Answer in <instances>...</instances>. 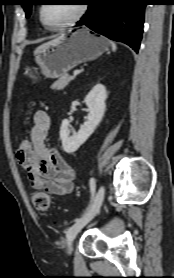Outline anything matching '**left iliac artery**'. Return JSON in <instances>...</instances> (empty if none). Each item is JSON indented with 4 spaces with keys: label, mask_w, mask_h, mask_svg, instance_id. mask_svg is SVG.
I'll use <instances>...</instances> for the list:
<instances>
[{
    "label": "left iliac artery",
    "mask_w": 174,
    "mask_h": 278,
    "mask_svg": "<svg viewBox=\"0 0 174 278\" xmlns=\"http://www.w3.org/2000/svg\"><path fill=\"white\" fill-rule=\"evenodd\" d=\"M90 191H91V201L93 200L94 194H95V190H96V180L95 178H91L90 182Z\"/></svg>",
    "instance_id": "left-iliac-artery-1"
}]
</instances>
